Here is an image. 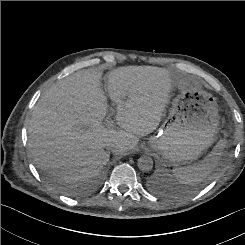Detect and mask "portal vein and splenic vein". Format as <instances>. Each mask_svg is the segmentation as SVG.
<instances>
[{
    "label": "portal vein and splenic vein",
    "instance_id": "18ae733b",
    "mask_svg": "<svg viewBox=\"0 0 245 245\" xmlns=\"http://www.w3.org/2000/svg\"><path fill=\"white\" fill-rule=\"evenodd\" d=\"M111 111H112L111 116L108 117V118L105 120V125H106L107 127H112L113 124H114L113 119H112V116H113V110H111Z\"/></svg>",
    "mask_w": 245,
    "mask_h": 245
}]
</instances>
